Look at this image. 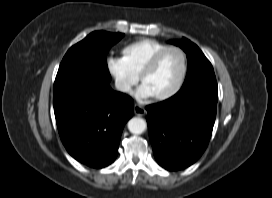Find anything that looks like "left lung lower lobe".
Masks as SVG:
<instances>
[{
    "instance_id": "0a47b994",
    "label": "left lung lower lobe",
    "mask_w": 272,
    "mask_h": 198,
    "mask_svg": "<svg viewBox=\"0 0 272 198\" xmlns=\"http://www.w3.org/2000/svg\"><path fill=\"white\" fill-rule=\"evenodd\" d=\"M217 100L216 79L201 80L146 107L150 141L159 165L180 170L200 158L212 134Z\"/></svg>"
}]
</instances>
